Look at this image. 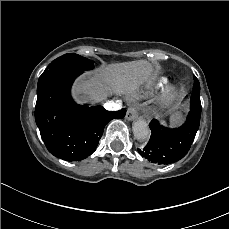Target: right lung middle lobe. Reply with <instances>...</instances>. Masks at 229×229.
I'll list each match as a JSON object with an SVG mask.
<instances>
[{
  "instance_id": "right-lung-middle-lobe-1",
  "label": "right lung middle lobe",
  "mask_w": 229,
  "mask_h": 229,
  "mask_svg": "<svg viewBox=\"0 0 229 229\" xmlns=\"http://www.w3.org/2000/svg\"><path fill=\"white\" fill-rule=\"evenodd\" d=\"M93 61L80 55L69 53L52 61L42 75L39 81L61 70L77 69L80 71L93 69Z\"/></svg>"
}]
</instances>
